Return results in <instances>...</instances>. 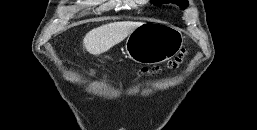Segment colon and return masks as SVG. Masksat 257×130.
Segmentation results:
<instances>
[{"instance_id":"colon-1","label":"colon","mask_w":257,"mask_h":130,"mask_svg":"<svg viewBox=\"0 0 257 130\" xmlns=\"http://www.w3.org/2000/svg\"><path fill=\"white\" fill-rule=\"evenodd\" d=\"M187 51L183 50L174 60L170 61L166 67L169 69L177 68L186 58ZM160 67H153V68H141L138 70L139 74H152L158 72Z\"/></svg>"}]
</instances>
